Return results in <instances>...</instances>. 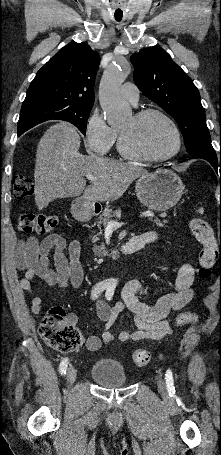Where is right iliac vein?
I'll return each instance as SVG.
<instances>
[{
    "mask_svg": "<svg viewBox=\"0 0 221 455\" xmlns=\"http://www.w3.org/2000/svg\"><path fill=\"white\" fill-rule=\"evenodd\" d=\"M76 375V369L74 367H69L66 374L68 382L72 384L76 379Z\"/></svg>",
    "mask_w": 221,
    "mask_h": 455,
    "instance_id": "1",
    "label": "right iliac vein"
}]
</instances>
